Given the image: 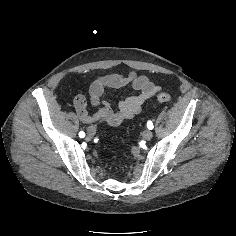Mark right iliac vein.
Instances as JSON below:
<instances>
[{
	"mask_svg": "<svg viewBox=\"0 0 236 236\" xmlns=\"http://www.w3.org/2000/svg\"><path fill=\"white\" fill-rule=\"evenodd\" d=\"M95 133H96V128L94 126H89L87 128V136L89 138H92L95 135Z\"/></svg>",
	"mask_w": 236,
	"mask_h": 236,
	"instance_id": "obj_1",
	"label": "right iliac vein"
}]
</instances>
